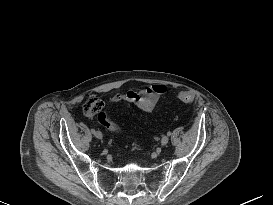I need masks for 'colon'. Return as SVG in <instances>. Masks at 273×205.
I'll return each mask as SVG.
<instances>
[{
  "label": "colon",
  "instance_id": "5ec220e1",
  "mask_svg": "<svg viewBox=\"0 0 273 205\" xmlns=\"http://www.w3.org/2000/svg\"><path fill=\"white\" fill-rule=\"evenodd\" d=\"M177 98L184 103H191L194 99V96L187 91H181L177 93ZM83 112L86 116L93 117L97 116L99 122L103 124L106 128L114 133L121 131V128L116 124L108 113L102 111V102L96 96H90L84 102Z\"/></svg>",
  "mask_w": 273,
  "mask_h": 205
}]
</instances>
